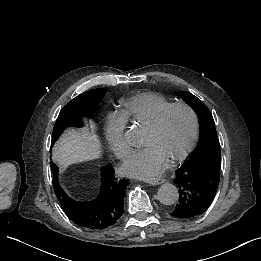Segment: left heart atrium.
Returning <instances> with one entry per match:
<instances>
[{
  "mask_svg": "<svg viewBox=\"0 0 261 261\" xmlns=\"http://www.w3.org/2000/svg\"><path fill=\"white\" fill-rule=\"evenodd\" d=\"M165 158L152 144L131 148L122 162V170L129 176L153 179L163 173Z\"/></svg>",
  "mask_w": 261,
  "mask_h": 261,
  "instance_id": "obj_1",
  "label": "left heart atrium"
}]
</instances>
